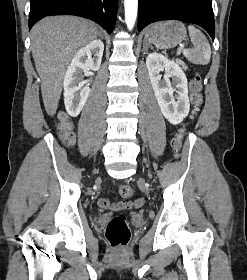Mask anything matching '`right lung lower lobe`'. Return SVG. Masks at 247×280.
Returning a JSON list of instances; mask_svg holds the SVG:
<instances>
[{
	"label": "right lung lower lobe",
	"mask_w": 247,
	"mask_h": 280,
	"mask_svg": "<svg viewBox=\"0 0 247 280\" xmlns=\"http://www.w3.org/2000/svg\"><path fill=\"white\" fill-rule=\"evenodd\" d=\"M118 0H31L29 29L49 15H77L96 21L110 34L116 22Z\"/></svg>",
	"instance_id": "obj_1"
}]
</instances>
